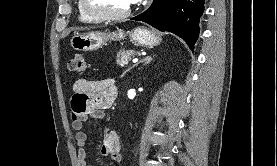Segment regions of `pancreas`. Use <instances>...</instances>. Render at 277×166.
I'll use <instances>...</instances> for the list:
<instances>
[{"label":"pancreas","instance_id":"pancreas-1","mask_svg":"<svg viewBox=\"0 0 277 166\" xmlns=\"http://www.w3.org/2000/svg\"><path fill=\"white\" fill-rule=\"evenodd\" d=\"M137 54V52L135 50H120L117 53V59H116V63L120 66H124L127 65L131 58L134 57Z\"/></svg>","mask_w":277,"mask_h":166}]
</instances>
